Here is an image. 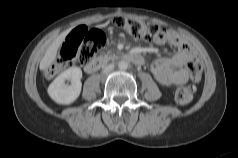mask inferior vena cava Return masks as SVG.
Segmentation results:
<instances>
[{"mask_svg":"<svg viewBox=\"0 0 238 158\" xmlns=\"http://www.w3.org/2000/svg\"><path fill=\"white\" fill-rule=\"evenodd\" d=\"M114 69V64H108L104 67V72L108 73Z\"/></svg>","mask_w":238,"mask_h":158,"instance_id":"1","label":"inferior vena cava"}]
</instances>
